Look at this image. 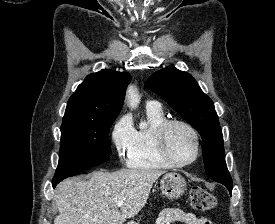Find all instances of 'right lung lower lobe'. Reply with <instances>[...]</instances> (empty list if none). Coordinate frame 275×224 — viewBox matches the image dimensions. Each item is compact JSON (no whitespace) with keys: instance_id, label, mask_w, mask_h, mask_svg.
Masks as SVG:
<instances>
[{"instance_id":"98d812e1","label":"right lung lower lobe","mask_w":275,"mask_h":224,"mask_svg":"<svg viewBox=\"0 0 275 224\" xmlns=\"http://www.w3.org/2000/svg\"><path fill=\"white\" fill-rule=\"evenodd\" d=\"M60 181H55V182H52V186L53 188L59 183Z\"/></svg>"}]
</instances>
